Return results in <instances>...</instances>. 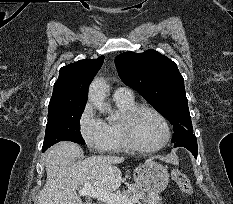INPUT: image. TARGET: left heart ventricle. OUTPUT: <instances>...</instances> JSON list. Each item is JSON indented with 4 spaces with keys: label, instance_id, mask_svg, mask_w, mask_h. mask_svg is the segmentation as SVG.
<instances>
[{
    "label": "left heart ventricle",
    "instance_id": "1",
    "mask_svg": "<svg viewBox=\"0 0 233 204\" xmlns=\"http://www.w3.org/2000/svg\"><path fill=\"white\" fill-rule=\"evenodd\" d=\"M133 131L137 143L145 148L156 147L165 137L161 121L148 111H143L136 117Z\"/></svg>",
    "mask_w": 233,
    "mask_h": 204
}]
</instances>
